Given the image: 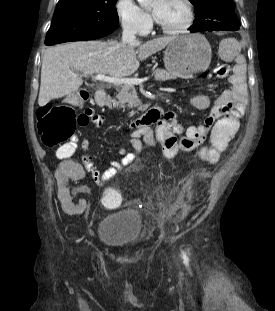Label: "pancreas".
Here are the masks:
<instances>
[{"instance_id": "pancreas-1", "label": "pancreas", "mask_w": 275, "mask_h": 311, "mask_svg": "<svg viewBox=\"0 0 275 311\" xmlns=\"http://www.w3.org/2000/svg\"><path fill=\"white\" fill-rule=\"evenodd\" d=\"M152 71L155 75V80L157 81H167L174 78L164 69L153 68ZM113 103L114 107L121 108L123 110L125 108L133 109L135 107H138V110L141 109V101L138 99L134 85H122L116 95V98L113 100ZM132 114H134L133 111L130 115Z\"/></svg>"}]
</instances>
